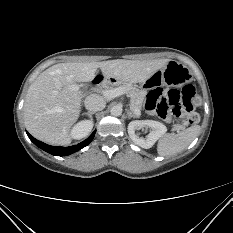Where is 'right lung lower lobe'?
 Returning <instances> with one entry per match:
<instances>
[{"label": "right lung lower lobe", "mask_w": 233, "mask_h": 233, "mask_svg": "<svg viewBox=\"0 0 233 233\" xmlns=\"http://www.w3.org/2000/svg\"><path fill=\"white\" fill-rule=\"evenodd\" d=\"M95 132L96 131H94L85 141L79 143L78 145H74V146H70V147L50 146V145H47V144L35 139L28 132H27V135L36 146L43 149L44 151H46L52 155H56V156H66V155H70L74 152H77L78 150L87 146L93 140V138L95 136Z\"/></svg>", "instance_id": "1"}]
</instances>
